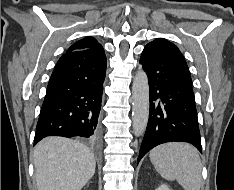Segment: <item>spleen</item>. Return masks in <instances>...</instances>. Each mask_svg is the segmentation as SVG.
<instances>
[{
    "label": "spleen",
    "instance_id": "spleen-1",
    "mask_svg": "<svg viewBox=\"0 0 234 190\" xmlns=\"http://www.w3.org/2000/svg\"><path fill=\"white\" fill-rule=\"evenodd\" d=\"M150 159L164 179L176 180L184 190H200L202 164L192 145L181 142L162 144L151 150Z\"/></svg>",
    "mask_w": 234,
    "mask_h": 190
}]
</instances>
